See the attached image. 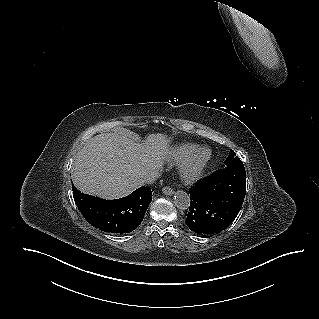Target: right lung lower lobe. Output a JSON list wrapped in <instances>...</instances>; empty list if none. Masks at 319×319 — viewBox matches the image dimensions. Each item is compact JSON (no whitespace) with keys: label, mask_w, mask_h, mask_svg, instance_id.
<instances>
[{"label":"right lung lower lobe","mask_w":319,"mask_h":319,"mask_svg":"<svg viewBox=\"0 0 319 319\" xmlns=\"http://www.w3.org/2000/svg\"><path fill=\"white\" fill-rule=\"evenodd\" d=\"M72 190L75 203L89 224L111 233H128L135 230L142 222L152 200L149 187H140L129 196L116 200L86 195L74 186Z\"/></svg>","instance_id":"98d812e1"}]
</instances>
